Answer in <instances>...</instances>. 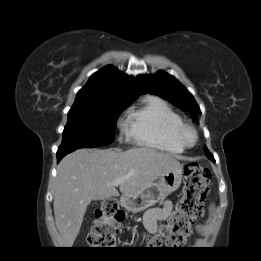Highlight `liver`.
I'll return each instance as SVG.
<instances>
[{"label":"liver","mask_w":261,"mask_h":261,"mask_svg":"<svg viewBox=\"0 0 261 261\" xmlns=\"http://www.w3.org/2000/svg\"><path fill=\"white\" fill-rule=\"evenodd\" d=\"M178 166L174 156L145 147L79 149L65 156L57 168L53 202L60 246L72 247L92 200L119 196L116 186L109 185L116 178L129 176L119 190L133 195Z\"/></svg>","instance_id":"liver-1"}]
</instances>
